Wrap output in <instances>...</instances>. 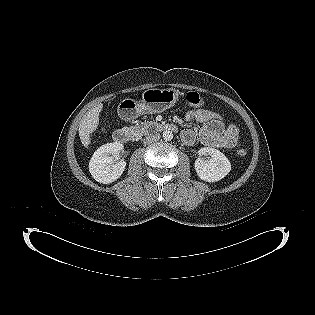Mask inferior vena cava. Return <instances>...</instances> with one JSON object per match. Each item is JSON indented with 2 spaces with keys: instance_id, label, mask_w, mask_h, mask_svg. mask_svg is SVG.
<instances>
[{
  "instance_id": "602c4592",
  "label": "inferior vena cava",
  "mask_w": 315,
  "mask_h": 315,
  "mask_svg": "<svg viewBox=\"0 0 315 315\" xmlns=\"http://www.w3.org/2000/svg\"><path fill=\"white\" fill-rule=\"evenodd\" d=\"M159 139H160L159 133L149 134L144 138V143L150 144V143L158 141Z\"/></svg>"
}]
</instances>
